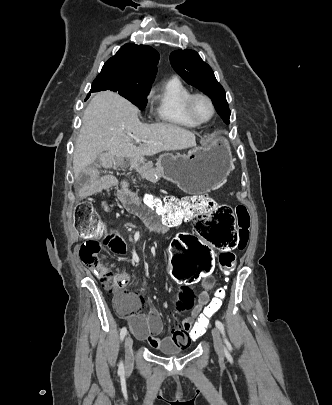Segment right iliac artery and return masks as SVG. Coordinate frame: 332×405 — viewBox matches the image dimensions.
<instances>
[{
	"label": "right iliac artery",
	"instance_id": "obj_1",
	"mask_svg": "<svg viewBox=\"0 0 332 405\" xmlns=\"http://www.w3.org/2000/svg\"><path fill=\"white\" fill-rule=\"evenodd\" d=\"M126 333H127V328H126V327H123V328L121 329V331H120V338H121V340L124 339ZM123 370H124L123 363L120 362L119 371H120V372H123Z\"/></svg>",
	"mask_w": 332,
	"mask_h": 405
}]
</instances>
